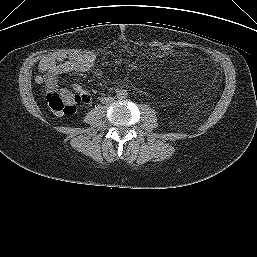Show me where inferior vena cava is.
Here are the masks:
<instances>
[{"label":"inferior vena cava","instance_id":"1","mask_svg":"<svg viewBox=\"0 0 257 257\" xmlns=\"http://www.w3.org/2000/svg\"><path fill=\"white\" fill-rule=\"evenodd\" d=\"M102 101H103L104 103L111 102V101H113V97L104 98V99H102Z\"/></svg>","mask_w":257,"mask_h":257}]
</instances>
